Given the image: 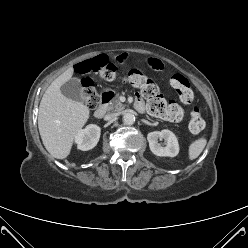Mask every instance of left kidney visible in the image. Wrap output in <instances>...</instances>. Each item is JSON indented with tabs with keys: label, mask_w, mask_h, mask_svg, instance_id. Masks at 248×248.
I'll return each instance as SVG.
<instances>
[{
	"label": "left kidney",
	"mask_w": 248,
	"mask_h": 248,
	"mask_svg": "<svg viewBox=\"0 0 248 248\" xmlns=\"http://www.w3.org/2000/svg\"><path fill=\"white\" fill-rule=\"evenodd\" d=\"M164 139V144L158 143V140ZM150 150L157 156L175 157L179 153V144L177 137L170 130L150 132L147 135Z\"/></svg>",
	"instance_id": "5707ae66"
}]
</instances>
